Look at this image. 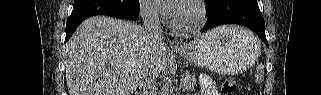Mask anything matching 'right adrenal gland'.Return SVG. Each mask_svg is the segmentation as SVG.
<instances>
[{
	"label": "right adrenal gland",
	"mask_w": 321,
	"mask_h": 95,
	"mask_svg": "<svg viewBox=\"0 0 321 95\" xmlns=\"http://www.w3.org/2000/svg\"><path fill=\"white\" fill-rule=\"evenodd\" d=\"M136 94H141L140 92H136Z\"/></svg>",
	"instance_id": "1"
}]
</instances>
